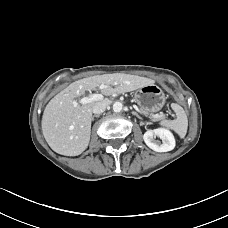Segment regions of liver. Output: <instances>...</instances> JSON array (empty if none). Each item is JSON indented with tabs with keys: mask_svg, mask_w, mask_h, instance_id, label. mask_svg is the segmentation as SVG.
Here are the masks:
<instances>
[{
	"mask_svg": "<svg viewBox=\"0 0 228 228\" xmlns=\"http://www.w3.org/2000/svg\"><path fill=\"white\" fill-rule=\"evenodd\" d=\"M154 82L146 77L113 73L95 75L71 83L45 107L41 124L46 142L58 154L80 155L90 141L92 108L97 102L83 105L78 104L77 98L96 88H100L103 95L110 96L130 92ZM101 101L109 103L107 98L98 102Z\"/></svg>",
	"mask_w": 228,
	"mask_h": 228,
	"instance_id": "6515ba94",
	"label": "liver"
}]
</instances>
